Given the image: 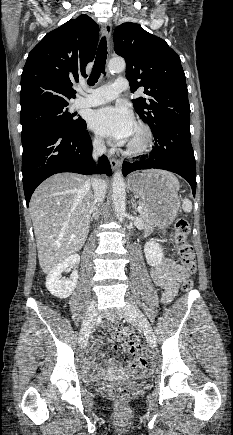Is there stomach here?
Masks as SVG:
<instances>
[{
  "instance_id": "obj_1",
  "label": "stomach",
  "mask_w": 233,
  "mask_h": 435,
  "mask_svg": "<svg viewBox=\"0 0 233 435\" xmlns=\"http://www.w3.org/2000/svg\"><path fill=\"white\" fill-rule=\"evenodd\" d=\"M128 186L148 206L155 225L167 227L174 221L180 208L179 183L174 175L158 170L133 173Z\"/></svg>"
}]
</instances>
